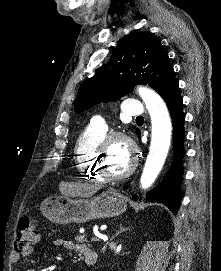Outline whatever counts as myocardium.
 Masks as SVG:
<instances>
[{"instance_id": "1", "label": "myocardium", "mask_w": 221, "mask_h": 271, "mask_svg": "<svg viewBox=\"0 0 221 271\" xmlns=\"http://www.w3.org/2000/svg\"><path fill=\"white\" fill-rule=\"evenodd\" d=\"M120 142H124V147H127V150H130V155H137V145L133 140L131 133H109L108 137L103 138L101 142L102 145L97 146V149L101 151L96 153V156H94V162L95 164H98V167H95V172H98L99 175H101V178H127L131 172L139 169V166L136 165L137 157H130L129 163L131 165L127 168V170H124L123 173L106 172V170L110 169L111 167L105 165L103 156H105V153H108L109 145H118Z\"/></svg>"}]
</instances>
